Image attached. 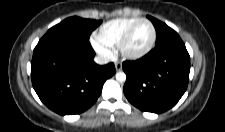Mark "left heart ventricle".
<instances>
[{
    "mask_svg": "<svg viewBox=\"0 0 225 132\" xmlns=\"http://www.w3.org/2000/svg\"><path fill=\"white\" fill-rule=\"evenodd\" d=\"M152 37L151 26L145 22L140 23L132 33L127 44V49L132 52L142 50L147 46Z\"/></svg>",
    "mask_w": 225,
    "mask_h": 132,
    "instance_id": "left-heart-ventricle-1",
    "label": "left heart ventricle"
}]
</instances>
